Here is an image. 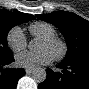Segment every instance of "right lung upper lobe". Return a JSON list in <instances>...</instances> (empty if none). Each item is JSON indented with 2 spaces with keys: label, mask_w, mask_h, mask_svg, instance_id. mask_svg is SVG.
Here are the masks:
<instances>
[{
  "label": "right lung upper lobe",
  "mask_w": 89,
  "mask_h": 89,
  "mask_svg": "<svg viewBox=\"0 0 89 89\" xmlns=\"http://www.w3.org/2000/svg\"><path fill=\"white\" fill-rule=\"evenodd\" d=\"M0 12H9V11L0 10ZM9 13L14 14V15H16V16H19V17H21V18H23V19H25V20H27V21L34 20V19H35V17H34L33 15H31V14H26V13H21V12H19V11H14V12H9Z\"/></svg>",
  "instance_id": "obj_1"
}]
</instances>
